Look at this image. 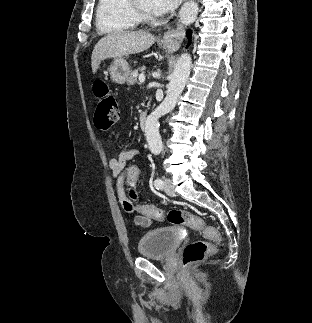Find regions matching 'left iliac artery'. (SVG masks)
Wrapping results in <instances>:
<instances>
[{"mask_svg":"<svg viewBox=\"0 0 312 323\" xmlns=\"http://www.w3.org/2000/svg\"><path fill=\"white\" fill-rule=\"evenodd\" d=\"M154 186L156 187V189H162L163 188V181L160 178H156L154 180Z\"/></svg>","mask_w":312,"mask_h":323,"instance_id":"left-iliac-artery-1","label":"left iliac artery"}]
</instances>
